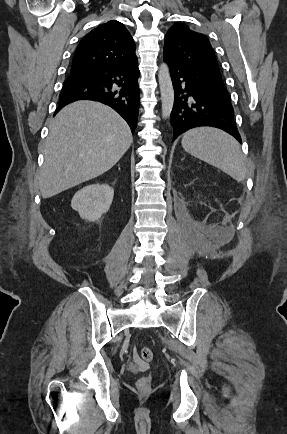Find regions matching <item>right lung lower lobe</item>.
<instances>
[{
  "mask_svg": "<svg viewBox=\"0 0 287 434\" xmlns=\"http://www.w3.org/2000/svg\"><path fill=\"white\" fill-rule=\"evenodd\" d=\"M138 77V62L71 75L63 83L55 114L76 100L99 101L116 110L134 132L140 106Z\"/></svg>",
  "mask_w": 287,
  "mask_h": 434,
  "instance_id": "1",
  "label": "right lung lower lobe"
}]
</instances>
